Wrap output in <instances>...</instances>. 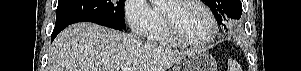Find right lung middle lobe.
I'll return each mask as SVG.
<instances>
[{
    "label": "right lung middle lobe",
    "mask_w": 301,
    "mask_h": 71,
    "mask_svg": "<svg viewBox=\"0 0 301 71\" xmlns=\"http://www.w3.org/2000/svg\"><path fill=\"white\" fill-rule=\"evenodd\" d=\"M125 1L59 0L55 25L100 20L110 24L114 29L125 30Z\"/></svg>",
    "instance_id": "obj_1"
}]
</instances>
